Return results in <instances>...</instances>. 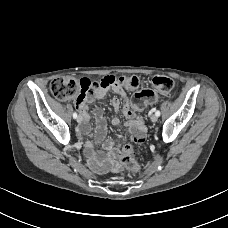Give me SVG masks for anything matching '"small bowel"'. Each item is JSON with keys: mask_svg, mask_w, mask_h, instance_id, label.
I'll return each mask as SVG.
<instances>
[{"mask_svg": "<svg viewBox=\"0 0 228 228\" xmlns=\"http://www.w3.org/2000/svg\"><path fill=\"white\" fill-rule=\"evenodd\" d=\"M112 90L125 98V103L123 106V113L128 118L125 126L131 135V140L135 143H142L146 139V127L143 124L141 117L136 115L131 107V101L126 97L124 89L120 85L112 86ZM106 95V90H100L94 94H85L81 97L76 98L75 105L82 117V124L78 127V131L81 134H86L90 131L89 120L91 118L88 112V104L96 100L102 99ZM111 105L115 111L120 108V99L118 97H113L111 100ZM93 115L96 120V140L103 144L105 150V155L103 159V166L109 167L114 170H118L120 167L117 163V158L120 156L119 147L111 140H105L106 136V121L103 116V111L99 107L93 109ZM120 123L119 119L114 118L112 120V125L117 126Z\"/></svg>", "mask_w": 228, "mask_h": 228, "instance_id": "c3829d8e", "label": "small bowel"}]
</instances>
